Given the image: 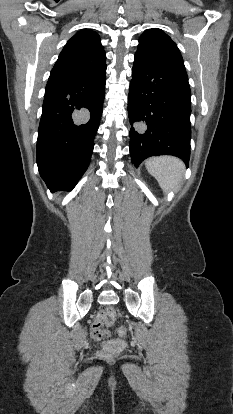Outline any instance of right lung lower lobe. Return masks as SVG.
Wrapping results in <instances>:
<instances>
[{
    "instance_id": "right-lung-lower-lobe-1",
    "label": "right lung lower lobe",
    "mask_w": 233,
    "mask_h": 414,
    "mask_svg": "<svg viewBox=\"0 0 233 414\" xmlns=\"http://www.w3.org/2000/svg\"><path fill=\"white\" fill-rule=\"evenodd\" d=\"M106 66L97 72L50 74L38 129L37 164L51 191L72 190L86 171L105 96Z\"/></svg>"
}]
</instances>
